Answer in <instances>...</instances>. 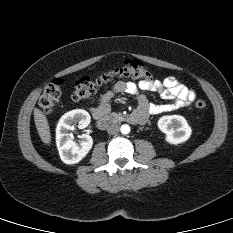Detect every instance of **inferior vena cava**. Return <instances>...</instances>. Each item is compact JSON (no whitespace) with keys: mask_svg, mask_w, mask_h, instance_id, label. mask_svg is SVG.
Instances as JSON below:
<instances>
[{"mask_svg":"<svg viewBox=\"0 0 233 233\" xmlns=\"http://www.w3.org/2000/svg\"><path fill=\"white\" fill-rule=\"evenodd\" d=\"M119 130H120V127H119L118 124H111V125H109L108 128H107V132H108L109 134H111V135L117 134V133L119 132Z\"/></svg>","mask_w":233,"mask_h":233,"instance_id":"1","label":"inferior vena cava"}]
</instances>
